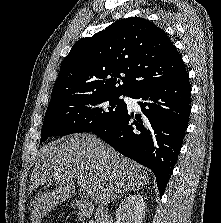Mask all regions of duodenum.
<instances>
[{"label":"duodenum","instance_id":"obj_1","mask_svg":"<svg viewBox=\"0 0 221 223\" xmlns=\"http://www.w3.org/2000/svg\"><path fill=\"white\" fill-rule=\"evenodd\" d=\"M75 207L80 219L94 216L96 223H110L109 212L102 206H94L89 201L79 200L76 201Z\"/></svg>","mask_w":221,"mask_h":223}]
</instances>
